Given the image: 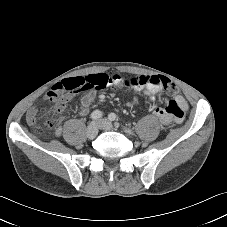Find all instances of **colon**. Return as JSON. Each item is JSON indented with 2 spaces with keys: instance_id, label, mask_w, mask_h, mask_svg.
Masks as SVG:
<instances>
[{
  "instance_id": "obj_1",
  "label": "colon",
  "mask_w": 227,
  "mask_h": 227,
  "mask_svg": "<svg viewBox=\"0 0 227 227\" xmlns=\"http://www.w3.org/2000/svg\"><path fill=\"white\" fill-rule=\"evenodd\" d=\"M67 79H70V78H67ZM64 80H66V79H64ZM141 82L143 84H160L170 94H175L177 92V88H176L175 84L170 82L165 77L151 76V77L143 79ZM48 94H49V92H48ZM59 115H60V112L56 109H54L53 111H46V112L42 113L43 123L41 126L37 127V133L39 135H42V134H44V132L46 130L56 128L60 121Z\"/></svg>"
}]
</instances>
